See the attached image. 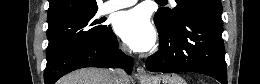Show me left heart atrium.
<instances>
[{
  "mask_svg": "<svg viewBox=\"0 0 260 84\" xmlns=\"http://www.w3.org/2000/svg\"><path fill=\"white\" fill-rule=\"evenodd\" d=\"M114 26L118 35L134 51H148L155 45V28L148 13L141 7L120 12Z\"/></svg>",
  "mask_w": 260,
  "mask_h": 84,
  "instance_id": "39dd6f15",
  "label": "left heart atrium"
}]
</instances>
